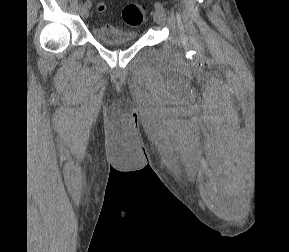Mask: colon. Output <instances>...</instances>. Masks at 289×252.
I'll list each match as a JSON object with an SVG mask.
<instances>
[{
	"label": "colon",
	"mask_w": 289,
	"mask_h": 252,
	"mask_svg": "<svg viewBox=\"0 0 289 252\" xmlns=\"http://www.w3.org/2000/svg\"><path fill=\"white\" fill-rule=\"evenodd\" d=\"M97 9L99 12H104L105 5L103 3H99ZM146 13L147 10L144 5L138 3H131L123 8L122 21L127 26L137 27L144 22Z\"/></svg>",
	"instance_id": "1"
}]
</instances>
